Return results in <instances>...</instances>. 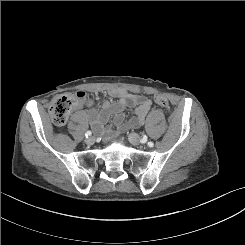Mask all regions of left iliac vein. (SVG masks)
<instances>
[{"label": "left iliac vein", "instance_id": "obj_1", "mask_svg": "<svg viewBox=\"0 0 245 245\" xmlns=\"http://www.w3.org/2000/svg\"><path fill=\"white\" fill-rule=\"evenodd\" d=\"M129 140L133 145H139L141 143L140 137L136 133H130Z\"/></svg>", "mask_w": 245, "mask_h": 245}]
</instances>
